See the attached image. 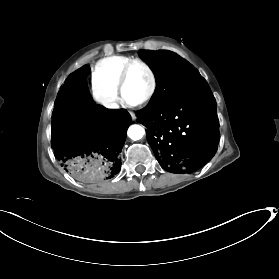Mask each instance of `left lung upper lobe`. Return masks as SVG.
<instances>
[{"label": "left lung upper lobe", "instance_id": "1", "mask_svg": "<svg viewBox=\"0 0 279 279\" xmlns=\"http://www.w3.org/2000/svg\"><path fill=\"white\" fill-rule=\"evenodd\" d=\"M154 71L156 89L145 111H153L186 94L194 86L205 82L187 61L169 51H140Z\"/></svg>", "mask_w": 279, "mask_h": 279}]
</instances>
